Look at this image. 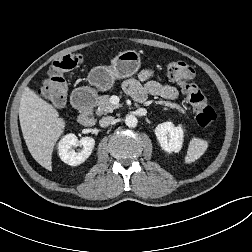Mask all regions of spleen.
<instances>
[{"mask_svg": "<svg viewBox=\"0 0 252 252\" xmlns=\"http://www.w3.org/2000/svg\"><path fill=\"white\" fill-rule=\"evenodd\" d=\"M207 148L208 142L206 140L196 137L192 138L189 143L187 155L185 157V163L190 164L195 162L205 153Z\"/></svg>", "mask_w": 252, "mask_h": 252, "instance_id": "1", "label": "spleen"}]
</instances>
